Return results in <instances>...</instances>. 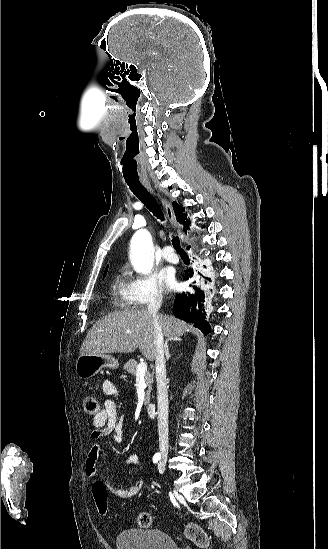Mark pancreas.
<instances>
[{
    "instance_id": "1",
    "label": "pancreas",
    "mask_w": 328,
    "mask_h": 549,
    "mask_svg": "<svg viewBox=\"0 0 328 549\" xmlns=\"http://www.w3.org/2000/svg\"><path fill=\"white\" fill-rule=\"evenodd\" d=\"M137 367L138 363L135 361V359H129L127 363L124 365V369L128 371V373H131V375H137ZM153 375H151L150 371H146L145 373V383L148 387V391H146V397H145V405H148L150 403V393L152 391L151 383H153L152 379Z\"/></svg>"
}]
</instances>
